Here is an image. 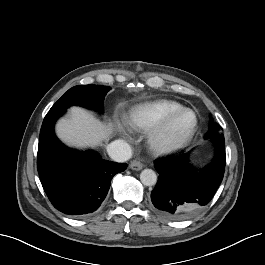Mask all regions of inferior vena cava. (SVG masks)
<instances>
[{
  "mask_svg": "<svg viewBox=\"0 0 265 265\" xmlns=\"http://www.w3.org/2000/svg\"><path fill=\"white\" fill-rule=\"evenodd\" d=\"M107 152L116 162H126L132 157V149L124 140H115L107 146Z\"/></svg>",
  "mask_w": 265,
  "mask_h": 265,
  "instance_id": "1",
  "label": "inferior vena cava"
}]
</instances>
